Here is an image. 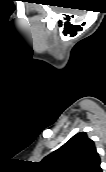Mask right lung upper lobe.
I'll return each instance as SVG.
<instances>
[{"mask_svg":"<svg viewBox=\"0 0 106 172\" xmlns=\"http://www.w3.org/2000/svg\"><path fill=\"white\" fill-rule=\"evenodd\" d=\"M94 142L85 132L77 133L40 162L43 172H103Z\"/></svg>","mask_w":106,"mask_h":172,"instance_id":"obj_1","label":"right lung upper lobe"}]
</instances>
